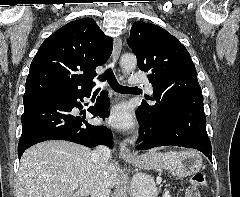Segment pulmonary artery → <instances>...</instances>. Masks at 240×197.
<instances>
[{
    "label": "pulmonary artery",
    "mask_w": 240,
    "mask_h": 197,
    "mask_svg": "<svg viewBox=\"0 0 240 197\" xmlns=\"http://www.w3.org/2000/svg\"><path fill=\"white\" fill-rule=\"evenodd\" d=\"M130 80H131V84H132V85H135V84H143L145 90H146L148 93H152V92H153L152 84H151L149 81H147V80L141 79L139 72L133 73V74L131 75V77H130Z\"/></svg>",
    "instance_id": "obj_1"
}]
</instances>
